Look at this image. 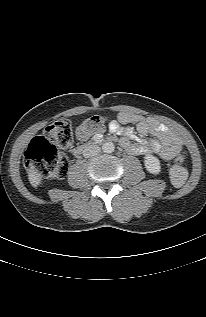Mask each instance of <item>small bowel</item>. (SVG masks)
Listing matches in <instances>:
<instances>
[{
  "label": "small bowel",
  "mask_w": 206,
  "mask_h": 317,
  "mask_svg": "<svg viewBox=\"0 0 206 317\" xmlns=\"http://www.w3.org/2000/svg\"><path fill=\"white\" fill-rule=\"evenodd\" d=\"M134 124V127L127 126ZM109 130L113 134L123 135L121 145L131 154H157L162 160H170L178 154L182 147L181 139L167 127L153 118L131 112H120L115 120L109 123ZM142 136H152L154 139H144ZM128 138L136 139L131 144Z\"/></svg>",
  "instance_id": "c3829d8e"
}]
</instances>
